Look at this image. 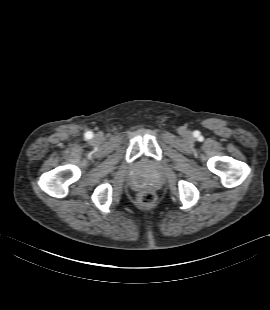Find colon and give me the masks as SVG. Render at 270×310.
<instances>
[{"label": "colon", "instance_id": "5ec220e1", "mask_svg": "<svg viewBox=\"0 0 270 310\" xmlns=\"http://www.w3.org/2000/svg\"><path fill=\"white\" fill-rule=\"evenodd\" d=\"M155 193L152 190H144L138 196L139 204L143 206L151 205L155 201Z\"/></svg>", "mask_w": 270, "mask_h": 310}]
</instances>
